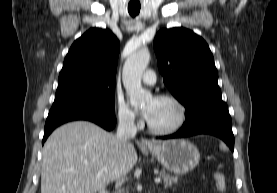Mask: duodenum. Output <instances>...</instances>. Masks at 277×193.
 Returning <instances> with one entry per match:
<instances>
[{"mask_svg":"<svg viewBox=\"0 0 277 193\" xmlns=\"http://www.w3.org/2000/svg\"><path fill=\"white\" fill-rule=\"evenodd\" d=\"M99 193H110V192L107 189H103Z\"/></svg>","mask_w":277,"mask_h":193,"instance_id":"duodenum-1","label":"duodenum"}]
</instances>
